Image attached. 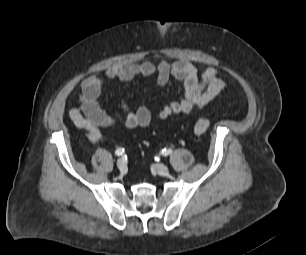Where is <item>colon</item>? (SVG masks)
<instances>
[{
    "mask_svg": "<svg viewBox=\"0 0 306 255\" xmlns=\"http://www.w3.org/2000/svg\"><path fill=\"white\" fill-rule=\"evenodd\" d=\"M209 126L210 122L208 119L203 117L198 118L194 123L193 127L194 134L199 138L203 137L208 131Z\"/></svg>",
    "mask_w": 306,
    "mask_h": 255,
    "instance_id": "obj_1",
    "label": "colon"
}]
</instances>
